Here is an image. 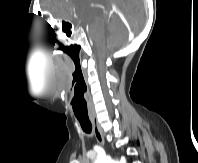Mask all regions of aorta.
Wrapping results in <instances>:
<instances>
[{
  "mask_svg": "<svg viewBox=\"0 0 198 163\" xmlns=\"http://www.w3.org/2000/svg\"><path fill=\"white\" fill-rule=\"evenodd\" d=\"M93 163H114L111 159L106 156H98Z\"/></svg>",
  "mask_w": 198,
  "mask_h": 163,
  "instance_id": "762f6f07",
  "label": "aorta"
}]
</instances>
